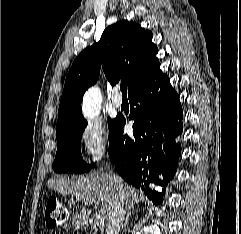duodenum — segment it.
<instances>
[{"label":"duodenum","instance_id":"duodenum-1","mask_svg":"<svg viewBox=\"0 0 241 234\" xmlns=\"http://www.w3.org/2000/svg\"><path fill=\"white\" fill-rule=\"evenodd\" d=\"M87 221H88V216L85 212H82L80 214V222L82 225H86L87 224Z\"/></svg>","mask_w":241,"mask_h":234}]
</instances>
